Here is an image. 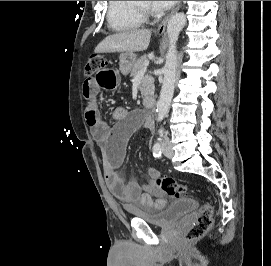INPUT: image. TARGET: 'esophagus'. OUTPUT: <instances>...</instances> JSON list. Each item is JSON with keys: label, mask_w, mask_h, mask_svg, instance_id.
Segmentation results:
<instances>
[{"label": "esophagus", "mask_w": 271, "mask_h": 266, "mask_svg": "<svg viewBox=\"0 0 271 266\" xmlns=\"http://www.w3.org/2000/svg\"><path fill=\"white\" fill-rule=\"evenodd\" d=\"M181 6V1L178 2L177 6L170 12V14L168 16H166V18L159 24L158 28H157V32L158 33H163L166 29L167 23L169 21V19L179 10Z\"/></svg>", "instance_id": "esophagus-1"}]
</instances>
